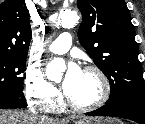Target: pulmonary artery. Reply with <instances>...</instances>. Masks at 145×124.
I'll use <instances>...</instances> for the list:
<instances>
[{
  "label": "pulmonary artery",
  "instance_id": "e3ab8cb5",
  "mask_svg": "<svg viewBox=\"0 0 145 124\" xmlns=\"http://www.w3.org/2000/svg\"><path fill=\"white\" fill-rule=\"evenodd\" d=\"M72 44V37L68 33L61 34L53 43L49 50L54 54H64L69 51Z\"/></svg>",
  "mask_w": 145,
  "mask_h": 124
}]
</instances>
